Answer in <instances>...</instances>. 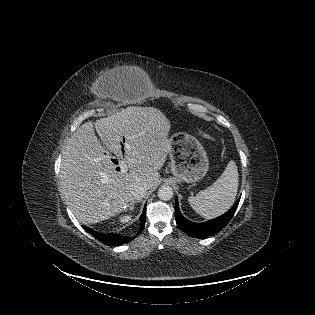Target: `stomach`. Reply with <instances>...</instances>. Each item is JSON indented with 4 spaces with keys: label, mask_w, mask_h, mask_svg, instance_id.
<instances>
[{
    "label": "stomach",
    "mask_w": 315,
    "mask_h": 315,
    "mask_svg": "<svg viewBox=\"0 0 315 315\" xmlns=\"http://www.w3.org/2000/svg\"><path fill=\"white\" fill-rule=\"evenodd\" d=\"M171 172L178 182L193 183L201 180L209 169V161L202 144L184 132L170 138Z\"/></svg>",
    "instance_id": "obj_1"
}]
</instances>
